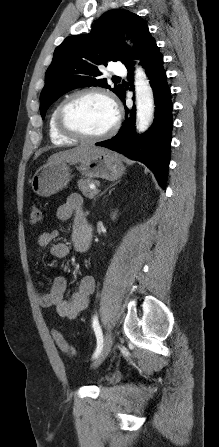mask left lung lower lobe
<instances>
[{"mask_svg":"<svg viewBox=\"0 0 219 447\" xmlns=\"http://www.w3.org/2000/svg\"><path fill=\"white\" fill-rule=\"evenodd\" d=\"M140 63L144 64L153 89L156 106L155 120L151 128L140 137L135 134V107L125 106L126 120L113 138L96 143L122 153L133 160L146 164L156 176L160 186L165 187L170 161L171 131L173 126L171 91L163 68V57L156 41L148 35L139 47ZM133 58L125 66L128 79L133 77ZM126 91L120 97L124 101Z\"/></svg>","mask_w":219,"mask_h":447,"instance_id":"left-lung-lower-lobe-1","label":"left lung lower lobe"}]
</instances>
